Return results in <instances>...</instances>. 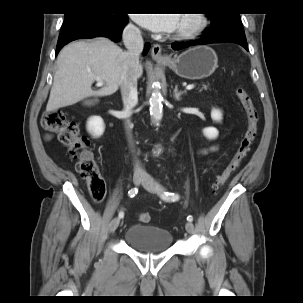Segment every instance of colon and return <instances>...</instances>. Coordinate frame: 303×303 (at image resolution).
Masks as SVG:
<instances>
[{
  "label": "colon",
  "instance_id": "colon-1",
  "mask_svg": "<svg viewBox=\"0 0 303 303\" xmlns=\"http://www.w3.org/2000/svg\"><path fill=\"white\" fill-rule=\"evenodd\" d=\"M236 95L246 112L248 127L232 159L217 177L213 185L214 191L223 186L231 174L239 168L241 162L248 156L259 131V115L250 95L240 86L236 88ZM42 127L57 134L59 141L67 146L71 156L77 160V171L88 182L92 199L101 202L105 197V182L99 173L97 159L86 148L87 142L79 136L75 123L69 121L63 111L52 110L43 115ZM138 219L140 222L147 223L151 216L148 212H141L138 214Z\"/></svg>",
  "mask_w": 303,
  "mask_h": 303
}]
</instances>
